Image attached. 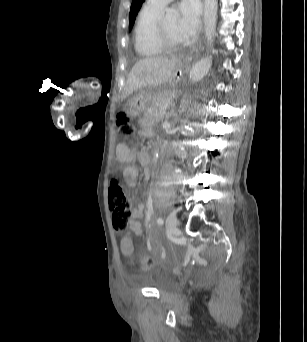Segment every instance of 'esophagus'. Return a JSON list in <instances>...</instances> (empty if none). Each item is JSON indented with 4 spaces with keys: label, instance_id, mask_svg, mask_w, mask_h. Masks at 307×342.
Listing matches in <instances>:
<instances>
[{
    "label": "esophagus",
    "instance_id": "1",
    "mask_svg": "<svg viewBox=\"0 0 307 342\" xmlns=\"http://www.w3.org/2000/svg\"><path fill=\"white\" fill-rule=\"evenodd\" d=\"M199 56V50L196 48V49H193L189 55H187L186 57V60L187 61H192V60H196Z\"/></svg>",
    "mask_w": 307,
    "mask_h": 342
}]
</instances>
